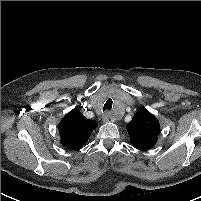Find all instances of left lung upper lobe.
<instances>
[{"label": "left lung upper lobe", "instance_id": "1", "mask_svg": "<svg viewBox=\"0 0 201 201\" xmlns=\"http://www.w3.org/2000/svg\"><path fill=\"white\" fill-rule=\"evenodd\" d=\"M133 147L147 150L157 142L160 125L157 118L145 108L139 109L126 125Z\"/></svg>", "mask_w": 201, "mask_h": 201}]
</instances>
